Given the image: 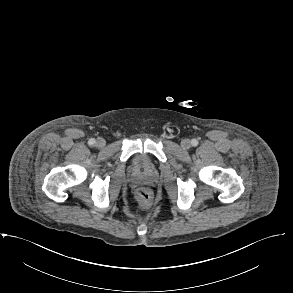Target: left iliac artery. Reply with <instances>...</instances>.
<instances>
[{"label": "left iliac artery", "instance_id": "1", "mask_svg": "<svg viewBox=\"0 0 293 293\" xmlns=\"http://www.w3.org/2000/svg\"><path fill=\"white\" fill-rule=\"evenodd\" d=\"M191 144H192V146H197L198 141L196 139H192Z\"/></svg>", "mask_w": 293, "mask_h": 293}]
</instances>
